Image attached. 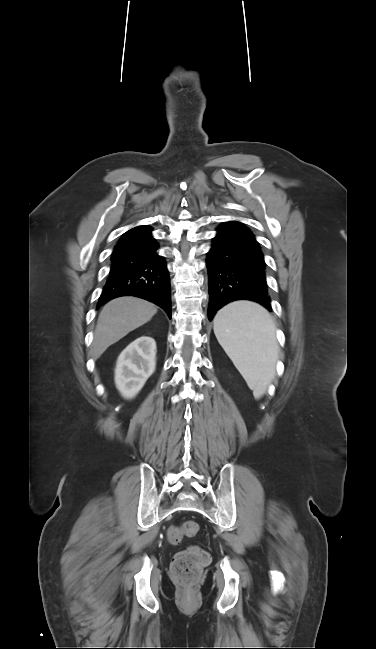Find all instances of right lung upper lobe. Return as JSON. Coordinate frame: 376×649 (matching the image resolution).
Returning a JSON list of instances; mask_svg holds the SVG:
<instances>
[{
    "mask_svg": "<svg viewBox=\"0 0 376 649\" xmlns=\"http://www.w3.org/2000/svg\"><path fill=\"white\" fill-rule=\"evenodd\" d=\"M147 228H149V227L145 226V225L144 226H137V227L132 228L131 230L127 231L125 234L132 233V232H135V231H138V230L147 229Z\"/></svg>",
    "mask_w": 376,
    "mask_h": 649,
    "instance_id": "obj_1",
    "label": "right lung upper lobe"
}]
</instances>
